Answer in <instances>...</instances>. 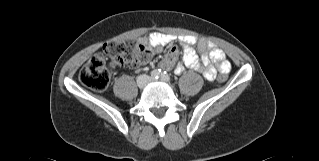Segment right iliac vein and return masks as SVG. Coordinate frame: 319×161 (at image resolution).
Wrapping results in <instances>:
<instances>
[{"label": "right iliac vein", "instance_id": "obj_1", "mask_svg": "<svg viewBox=\"0 0 319 161\" xmlns=\"http://www.w3.org/2000/svg\"><path fill=\"white\" fill-rule=\"evenodd\" d=\"M147 82H148L147 77L146 76H141L139 81H138V86L140 88H144L146 86Z\"/></svg>", "mask_w": 319, "mask_h": 161}]
</instances>
